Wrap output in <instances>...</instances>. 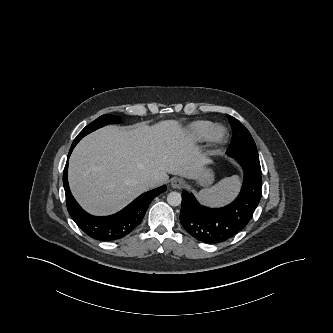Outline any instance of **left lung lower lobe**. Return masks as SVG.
Masks as SVG:
<instances>
[{
  "label": "left lung lower lobe",
  "instance_id": "1",
  "mask_svg": "<svg viewBox=\"0 0 333 333\" xmlns=\"http://www.w3.org/2000/svg\"><path fill=\"white\" fill-rule=\"evenodd\" d=\"M244 181L238 197L222 208L202 206L193 194L183 191L180 221L184 229L204 243L223 242L241 231L251 220L261 198V170L239 161Z\"/></svg>",
  "mask_w": 333,
  "mask_h": 333
}]
</instances>
